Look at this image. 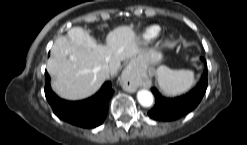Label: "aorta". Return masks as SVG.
I'll return each mask as SVG.
<instances>
[{"mask_svg": "<svg viewBox=\"0 0 247 145\" xmlns=\"http://www.w3.org/2000/svg\"><path fill=\"white\" fill-rule=\"evenodd\" d=\"M137 100L143 107H150L153 105L154 97L148 90L142 89L137 93Z\"/></svg>", "mask_w": 247, "mask_h": 145, "instance_id": "aorta-1", "label": "aorta"}]
</instances>
